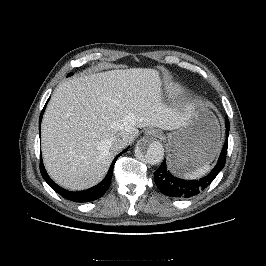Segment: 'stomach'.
Masks as SVG:
<instances>
[{
	"label": "stomach",
	"instance_id": "stomach-1",
	"mask_svg": "<svg viewBox=\"0 0 266 266\" xmlns=\"http://www.w3.org/2000/svg\"><path fill=\"white\" fill-rule=\"evenodd\" d=\"M169 166L192 172L210 163L221 146L219 123L210 108L201 104L183 126L167 136Z\"/></svg>",
	"mask_w": 266,
	"mask_h": 266
}]
</instances>
